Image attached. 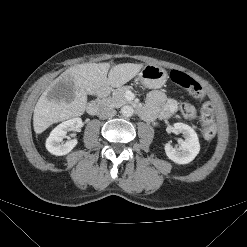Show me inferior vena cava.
<instances>
[{
	"mask_svg": "<svg viewBox=\"0 0 247 247\" xmlns=\"http://www.w3.org/2000/svg\"><path fill=\"white\" fill-rule=\"evenodd\" d=\"M116 110L113 108H104L99 112V118L100 119H107L111 118L116 115Z\"/></svg>",
	"mask_w": 247,
	"mask_h": 247,
	"instance_id": "602c4592",
	"label": "inferior vena cava"
}]
</instances>
